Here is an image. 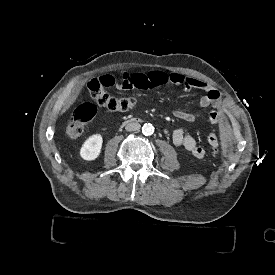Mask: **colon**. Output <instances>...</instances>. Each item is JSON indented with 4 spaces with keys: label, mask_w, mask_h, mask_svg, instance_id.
Returning <instances> with one entry per match:
<instances>
[{
    "label": "colon",
    "mask_w": 275,
    "mask_h": 275,
    "mask_svg": "<svg viewBox=\"0 0 275 275\" xmlns=\"http://www.w3.org/2000/svg\"><path fill=\"white\" fill-rule=\"evenodd\" d=\"M84 85L86 88H92L91 95L95 102L98 103L100 107L106 108L109 111H124L136 105L137 101L135 98L115 97L104 92L105 86L101 83L99 77H86ZM93 105L94 103L90 101H84L76 108L66 128L69 136L78 137L84 134L87 123L91 121L97 113ZM209 153L215 159H221L222 157V152L215 147L210 148Z\"/></svg>",
    "instance_id": "1"
}]
</instances>
